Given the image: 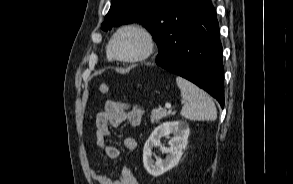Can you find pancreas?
<instances>
[{"label":"pancreas","mask_w":293,"mask_h":184,"mask_svg":"<svg viewBox=\"0 0 293 184\" xmlns=\"http://www.w3.org/2000/svg\"><path fill=\"white\" fill-rule=\"evenodd\" d=\"M174 115L172 111H166L164 109H153L151 112V123H158L162 118Z\"/></svg>","instance_id":"pancreas-1"}]
</instances>
